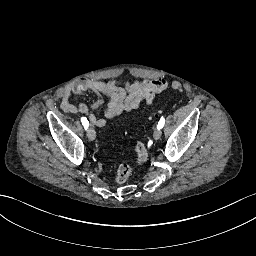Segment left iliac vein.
Masks as SVG:
<instances>
[{"label":"left iliac vein","instance_id":"1","mask_svg":"<svg viewBox=\"0 0 256 256\" xmlns=\"http://www.w3.org/2000/svg\"><path fill=\"white\" fill-rule=\"evenodd\" d=\"M162 135V132L159 128L155 129L153 137L155 140H159Z\"/></svg>","mask_w":256,"mask_h":256}]
</instances>
